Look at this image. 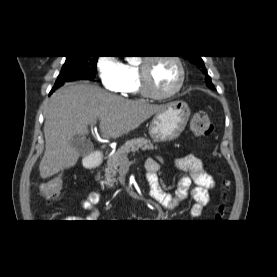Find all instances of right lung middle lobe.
Wrapping results in <instances>:
<instances>
[{
  "label": "right lung middle lobe",
  "instance_id": "1",
  "mask_svg": "<svg viewBox=\"0 0 277 277\" xmlns=\"http://www.w3.org/2000/svg\"><path fill=\"white\" fill-rule=\"evenodd\" d=\"M97 60L98 56H67L58 78L75 75L79 79L92 80L96 72Z\"/></svg>",
  "mask_w": 277,
  "mask_h": 277
}]
</instances>
